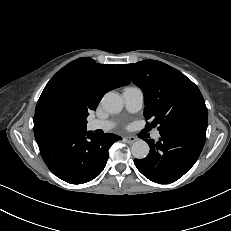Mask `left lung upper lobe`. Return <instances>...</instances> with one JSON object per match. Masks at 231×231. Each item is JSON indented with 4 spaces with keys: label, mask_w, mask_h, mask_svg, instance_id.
Instances as JSON below:
<instances>
[{
    "label": "left lung upper lobe",
    "mask_w": 231,
    "mask_h": 231,
    "mask_svg": "<svg viewBox=\"0 0 231 231\" xmlns=\"http://www.w3.org/2000/svg\"><path fill=\"white\" fill-rule=\"evenodd\" d=\"M120 70L144 93V116L166 131L181 127L207 129L208 112L198 87L183 73L156 60L121 64Z\"/></svg>",
    "instance_id": "5c2ea615"
}]
</instances>
